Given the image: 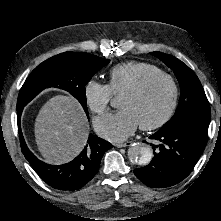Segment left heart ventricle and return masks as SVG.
I'll return each instance as SVG.
<instances>
[{
    "label": "left heart ventricle",
    "mask_w": 221,
    "mask_h": 221,
    "mask_svg": "<svg viewBox=\"0 0 221 221\" xmlns=\"http://www.w3.org/2000/svg\"><path fill=\"white\" fill-rule=\"evenodd\" d=\"M171 99V87L164 79H157L137 96L123 94L118 106L128 110L137 118L139 124L152 123L163 116Z\"/></svg>",
    "instance_id": "1"
}]
</instances>
